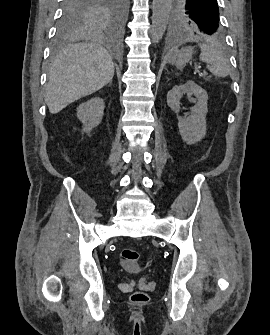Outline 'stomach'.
I'll use <instances>...</instances> for the list:
<instances>
[{"mask_svg":"<svg viewBox=\"0 0 270 335\" xmlns=\"http://www.w3.org/2000/svg\"><path fill=\"white\" fill-rule=\"evenodd\" d=\"M192 58V48L187 46V48H182V50H171L169 54V60L178 68V70H183L184 66L188 64L189 60Z\"/></svg>","mask_w":270,"mask_h":335,"instance_id":"obj_1","label":"stomach"}]
</instances>
